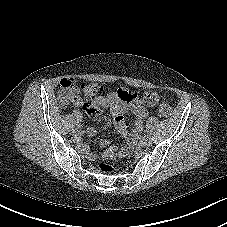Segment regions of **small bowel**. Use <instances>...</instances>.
Segmentation results:
<instances>
[{"label": "small bowel", "mask_w": 227, "mask_h": 227, "mask_svg": "<svg viewBox=\"0 0 227 227\" xmlns=\"http://www.w3.org/2000/svg\"><path fill=\"white\" fill-rule=\"evenodd\" d=\"M140 94L136 90L118 89L108 93L106 96H98L89 102H83L80 98L73 103L81 106L84 111L92 118H97L106 109H109L114 118V125L117 131L126 138L128 144H132L138 138L143 130V121L148 115L146 108L142 103L138 102ZM131 113L134 116L133 128L130 132L127 130L124 115ZM97 132L94 128H88L86 133L94 135ZM101 145L108 147L107 140H103ZM116 150L112 147L108 148L105 156L111 158L115 155ZM94 157V156H93Z\"/></svg>", "instance_id": "small-bowel-1"}]
</instances>
